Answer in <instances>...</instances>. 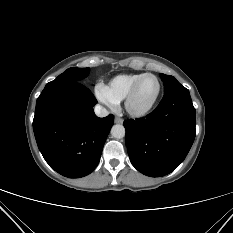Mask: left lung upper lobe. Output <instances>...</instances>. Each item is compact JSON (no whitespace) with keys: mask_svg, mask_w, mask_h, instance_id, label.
<instances>
[{"mask_svg":"<svg viewBox=\"0 0 233 233\" xmlns=\"http://www.w3.org/2000/svg\"><path fill=\"white\" fill-rule=\"evenodd\" d=\"M161 79L164 83V96L171 95L180 91H187L184 86H182L173 76L160 74Z\"/></svg>","mask_w":233,"mask_h":233,"instance_id":"obj_1","label":"left lung upper lobe"}]
</instances>
